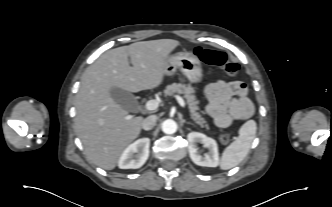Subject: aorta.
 <instances>
[{"label": "aorta", "mask_w": 332, "mask_h": 207, "mask_svg": "<svg viewBox=\"0 0 332 207\" xmlns=\"http://www.w3.org/2000/svg\"><path fill=\"white\" fill-rule=\"evenodd\" d=\"M162 131L166 134H173L177 131V123L172 119H167L162 123Z\"/></svg>", "instance_id": "obj_1"}]
</instances>
